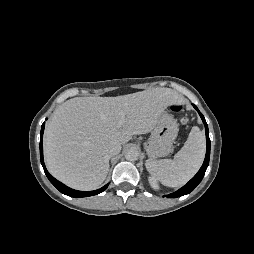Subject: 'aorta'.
Instances as JSON below:
<instances>
[{
	"label": "aorta",
	"mask_w": 254,
	"mask_h": 254,
	"mask_svg": "<svg viewBox=\"0 0 254 254\" xmlns=\"http://www.w3.org/2000/svg\"><path fill=\"white\" fill-rule=\"evenodd\" d=\"M139 157V152L135 148H130L125 152V158L128 161H136Z\"/></svg>",
	"instance_id": "aorta-1"
}]
</instances>
